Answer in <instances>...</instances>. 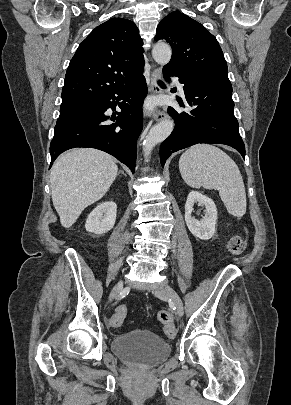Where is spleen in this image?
<instances>
[{"mask_svg": "<svg viewBox=\"0 0 291 405\" xmlns=\"http://www.w3.org/2000/svg\"><path fill=\"white\" fill-rule=\"evenodd\" d=\"M183 180L193 188L216 189L227 211L241 218L246 213L244 182L236 163L216 146L199 144L179 160Z\"/></svg>", "mask_w": 291, "mask_h": 405, "instance_id": "3e777b00", "label": "spleen"}]
</instances>
